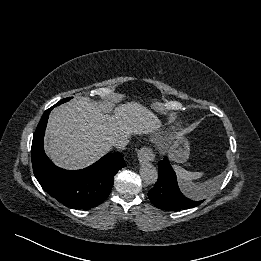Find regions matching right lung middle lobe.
Listing matches in <instances>:
<instances>
[{
	"label": "right lung middle lobe",
	"mask_w": 261,
	"mask_h": 261,
	"mask_svg": "<svg viewBox=\"0 0 261 261\" xmlns=\"http://www.w3.org/2000/svg\"><path fill=\"white\" fill-rule=\"evenodd\" d=\"M68 100H69V98H66V99H63V100L59 101L58 103H59V104H62V103H64V102L68 101Z\"/></svg>",
	"instance_id": "right-lung-middle-lobe-1"
}]
</instances>
